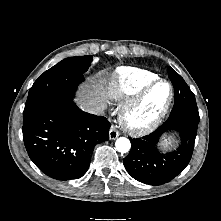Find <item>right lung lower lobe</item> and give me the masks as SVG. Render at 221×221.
I'll return each mask as SVG.
<instances>
[{
    "mask_svg": "<svg viewBox=\"0 0 221 221\" xmlns=\"http://www.w3.org/2000/svg\"><path fill=\"white\" fill-rule=\"evenodd\" d=\"M105 117L80 110L72 99L47 107L23 123V140L30 159L57 180L82 177L94 146L109 139Z\"/></svg>",
    "mask_w": 221,
    "mask_h": 221,
    "instance_id": "right-lung-lower-lobe-1",
    "label": "right lung lower lobe"
}]
</instances>
